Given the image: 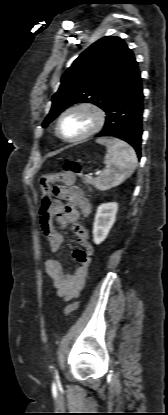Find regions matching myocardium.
I'll use <instances>...</instances> for the list:
<instances>
[{"label":"myocardium","mask_w":168,"mask_h":415,"mask_svg":"<svg viewBox=\"0 0 168 415\" xmlns=\"http://www.w3.org/2000/svg\"><path fill=\"white\" fill-rule=\"evenodd\" d=\"M76 110H86L90 112L93 116L94 122H93L92 127L84 134L74 137V138H67L62 133L61 122L68 113L72 111H76ZM105 120H106L105 111L98 104L89 102V101L79 102V103L69 106L60 114L57 120V123H56V132L58 136L66 142H79L99 132L104 126Z\"/></svg>","instance_id":"f54148a6"}]
</instances>
